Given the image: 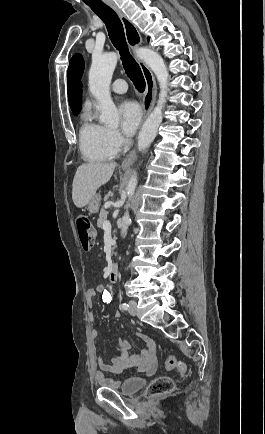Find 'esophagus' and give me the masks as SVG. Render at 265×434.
<instances>
[{"mask_svg": "<svg viewBox=\"0 0 265 434\" xmlns=\"http://www.w3.org/2000/svg\"><path fill=\"white\" fill-rule=\"evenodd\" d=\"M107 5H109V7H111L119 16L124 26L126 40L130 45V47L132 48V50H136L142 43V38L137 27L131 22V20H129L126 17V15H124V13L121 12V10H119L116 7L114 3H107ZM137 61L141 68L144 80L146 82V90L142 102V109H143L142 124H143L155 105L157 87L151 70L147 67V65H145L144 62H142V60L138 59ZM135 158H136V151L135 149H133L125 157V159L121 164V167L123 168L130 167L133 161L135 160Z\"/></svg>", "mask_w": 265, "mask_h": 434, "instance_id": "esophagus-1", "label": "esophagus"}]
</instances>
